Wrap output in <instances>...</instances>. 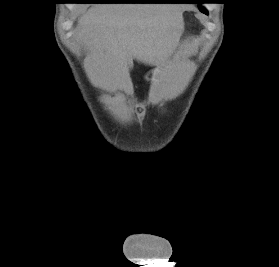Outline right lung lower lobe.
I'll list each match as a JSON object with an SVG mask.
<instances>
[{
    "instance_id": "right-lung-lower-lobe-1",
    "label": "right lung lower lobe",
    "mask_w": 279,
    "mask_h": 267,
    "mask_svg": "<svg viewBox=\"0 0 279 267\" xmlns=\"http://www.w3.org/2000/svg\"><path fill=\"white\" fill-rule=\"evenodd\" d=\"M77 3H142L140 1H132V2H116L112 0H82Z\"/></svg>"
}]
</instances>
